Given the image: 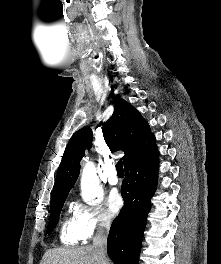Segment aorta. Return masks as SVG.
Wrapping results in <instances>:
<instances>
[{"label":"aorta","mask_w":221,"mask_h":264,"mask_svg":"<svg viewBox=\"0 0 221 264\" xmlns=\"http://www.w3.org/2000/svg\"><path fill=\"white\" fill-rule=\"evenodd\" d=\"M81 191L85 201H93L102 194V187L96 174L95 164L87 161L82 170Z\"/></svg>","instance_id":"1"}]
</instances>
